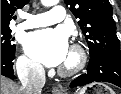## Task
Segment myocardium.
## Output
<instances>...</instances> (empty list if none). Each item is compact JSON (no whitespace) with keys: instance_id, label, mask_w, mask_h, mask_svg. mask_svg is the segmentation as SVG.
<instances>
[{"instance_id":"1","label":"myocardium","mask_w":121,"mask_h":94,"mask_svg":"<svg viewBox=\"0 0 121 94\" xmlns=\"http://www.w3.org/2000/svg\"><path fill=\"white\" fill-rule=\"evenodd\" d=\"M70 51L74 56L72 64L67 66H61L58 72L63 77H72L80 73L87 63V53L85 49L79 44H73Z\"/></svg>"}]
</instances>
